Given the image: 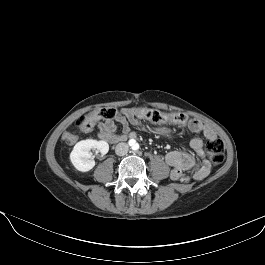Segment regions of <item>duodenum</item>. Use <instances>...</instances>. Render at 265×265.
<instances>
[{
	"label": "duodenum",
	"mask_w": 265,
	"mask_h": 265,
	"mask_svg": "<svg viewBox=\"0 0 265 265\" xmlns=\"http://www.w3.org/2000/svg\"><path fill=\"white\" fill-rule=\"evenodd\" d=\"M135 137H136V135L134 133H132L128 136L123 137L121 141L126 140L127 138H135Z\"/></svg>",
	"instance_id": "1"
}]
</instances>
